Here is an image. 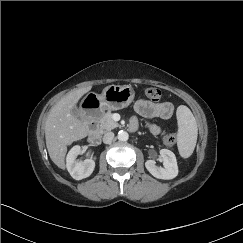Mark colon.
<instances>
[{"instance_id":"obj_1","label":"colon","mask_w":243,"mask_h":243,"mask_svg":"<svg viewBox=\"0 0 243 243\" xmlns=\"http://www.w3.org/2000/svg\"><path fill=\"white\" fill-rule=\"evenodd\" d=\"M145 94L148 97V99H150L153 102H158L161 97H162V93L161 91L156 88V87H148L145 90ZM163 143L166 146H172L176 143V137L173 134H168L163 138Z\"/></svg>"}]
</instances>
